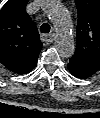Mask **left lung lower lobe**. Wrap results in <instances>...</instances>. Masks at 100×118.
I'll use <instances>...</instances> for the list:
<instances>
[{
    "label": "left lung lower lobe",
    "instance_id": "1",
    "mask_svg": "<svg viewBox=\"0 0 100 118\" xmlns=\"http://www.w3.org/2000/svg\"><path fill=\"white\" fill-rule=\"evenodd\" d=\"M67 68L75 77L80 79H86L95 73L71 61L68 63Z\"/></svg>",
    "mask_w": 100,
    "mask_h": 118
}]
</instances>
